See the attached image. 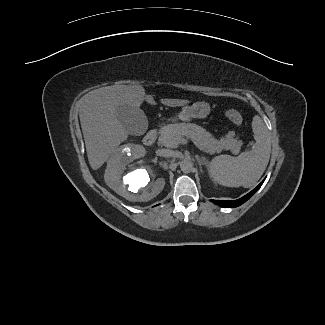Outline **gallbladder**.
I'll list each match as a JSON object with an SVG mask.
<instances>
[{
    "instance_id": "obj_1",
    "label": "gallbladder",
    "mask_w": 325,
    "mask_h": 325,
    "mask_svg": "<svg viewBox=\"0 0 325 325\" xmlns=\"http://www.w3.org/2000/svg\"><path fill=\"white\" fill-rule=\"evenodd\" d=\"M117 118L125 130L131 135H142L148 127L145 113L138 108L124 104L117 109Z\"/></svg>"
}]
</instances>
